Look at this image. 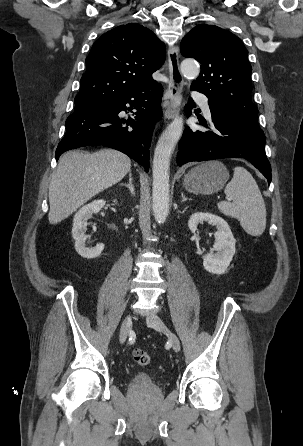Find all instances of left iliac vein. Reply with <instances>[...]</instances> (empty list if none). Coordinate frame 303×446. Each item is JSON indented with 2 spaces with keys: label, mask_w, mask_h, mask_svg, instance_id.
Masks as SVG:
<instances>
[{
  "label": "left iliac vein",
  "mask_w": 303,
  "mask_h": 446,
  "mask_svg": "<svg viewBox=\"0 0 303 446\" xmlns=\"http://www.w3.org/2000/svg\"><path fill=\"white\" fill-rule=\"evenodd\" d=\"M147 324L150 327L166 334V336L168 337V339L172 345L173 350L175 352L180 351L181 346H180V341H179L178 337L172 331H170L168 329V327L165 325V323L162 321V319L160 317H158L157 315H154V314L150 315L147 318Z\"/></svg>",
  "instance_id": "4c4485c4"
}]
</instances>
